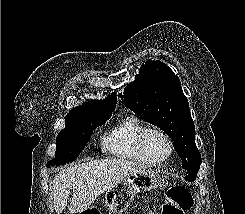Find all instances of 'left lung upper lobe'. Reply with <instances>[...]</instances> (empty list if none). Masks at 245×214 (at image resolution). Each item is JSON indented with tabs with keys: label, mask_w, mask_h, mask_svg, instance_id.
Instances as JSON below:
<instances>
[{
	"label": "left lung upper lobe",
	"mask_w": 245,
	"mask_h": 214,
	"mask_svg": "<svg viewBox=\"0 0 245 214\" xmlns=\"http://www.w3.org/2000/svg\"><path fill=\"white\" fill-rule=\"evenodd\" d=\"M124 105L143 120L162 129L189 175H196L201 155L195 144V126L188 99L173 71L163 62L149 60L142 65L136 80L120 93Z\"/></svg>",
	"instance_id": "1"
}]
</instances>
